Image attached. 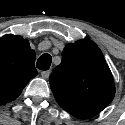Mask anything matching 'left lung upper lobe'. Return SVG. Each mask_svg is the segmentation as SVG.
I'll use <instances>...</instances> for the list:
<instances>
[{
  "label": "left lung upper lobe",
  "mask_w": 125,
  "mask_h": 125,
  "mask_svg": "<svg viewBox=\"0 0 125 125\" xmlns=\"http://www.w3.org/2000/svg\"><path fill=\"white\" fill-rule=\"evenodd\" d=\"M49 81L58 104L80 119L94 117L115 96L112 73L101 50L88 38L66 45Z\"/></svg>",
  "instance_id": "obj_1"
}]
</instances>
